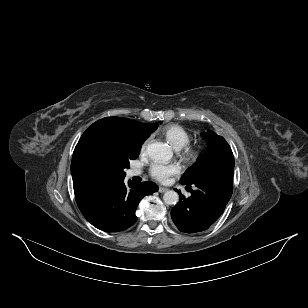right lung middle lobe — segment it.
I'll return each mask as SVG.
<instances>
[{"mask_svg": "<svg viewBox=\"0 0 308 308\" xmlns=\"http://www.w3.org/2000/svg\"><path fill=\"white\" fill-rule=\"evenodd\" d=\"M158 127V124L157 123H153V126H152V129L151 131L153 132L154 130H156ZM139 155V152L134 154L133 156L131 157H124L120 160L119 162V168L122 172V174L125 176V172L123 171L125 168H127L129 166V160H133V159H136Z\"/></svg>", "mask_w": 308, "mask_h": 308, "instance_id": "1", "label": "right lung middle lobe"}]
</instances>
